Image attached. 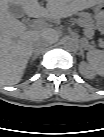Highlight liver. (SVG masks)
<instances>
[{
  "instance_id": "liver-1",
  "label": "liver",
  "mask_w": 104,
  "mask_h": 137,
  "mask_svg": "<svg viewBox=\"0 0 104 137\" xmlns=\"http://www.w3.org/2000/svg\"><path fill=\"white\" fill-rule=\"evenodd\" d=\"M9 3L21 6L29 17L61 19L102 4L103 0H47L46 8L38 0H1L0 83L11 86L21 80L35 44L42 40L52 43L58 33L50 29L27 31L26 26L10 14Z\"/></svg>"
}]
</instances>
